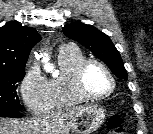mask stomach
Returning a JSON list of instances; mask_svg holds the SVG:
<instances>
[{
    "instance_id": "0dacf381",
    "label": "stomach",
    "mask_w": 153,
    "mask_h": 134,
    "mask_svg": "<svg viewBox=\"0 0 153 134\" xmlns=\"http://www.w3.org/2000/svg\"><path fill=\"white\" fill-rule=\"evenodd\" d=\"M104 119L105 110L102 106H87L76 115L71 130L75 134H91L101 126Z\"/></svg>"
}]
</instances>
